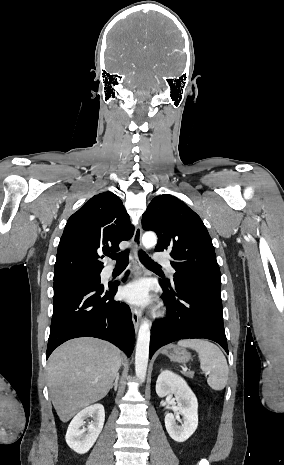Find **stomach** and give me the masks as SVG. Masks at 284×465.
Segmentation results:
<instances>
[{
  "mask_svg": "<svg viewBox=\"0 0 284 465\" xmlns=\"http://www.w3.org/2000/svg\"><path fill=\"white\" fill-rule=\"evenodd\" d=\"M163 355H167L173 363H188L191 359V353H188L187 349L176 347V345H167L163 349Z\"/></svg>",
  "mask_w": 284,
  "mask_h": 465,
  "instance_id": "stomach-1",
  "label": "stomach"
}]
</instances>
